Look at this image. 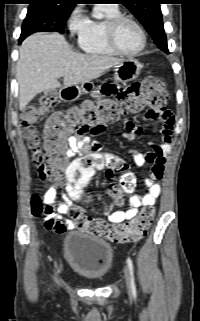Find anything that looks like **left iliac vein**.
Masks as SVG:
<instances>
[{
  "label": "left iliac vein",
  "mask_w": 200,
  "mask_h": 321,
  "mask_svg": "<svg viewBox=\"0 0 200 321\" xmlns=\"http://www.w3.org/2000/svg\"><path fill=\"white\" fill-rule=\"evenodd\" d=\"M124 277H125L128 293L132 294L130 271L127 267L124 268Z\"/></svg>",
  "instance_id": "obj_1"
}]
</instances>
